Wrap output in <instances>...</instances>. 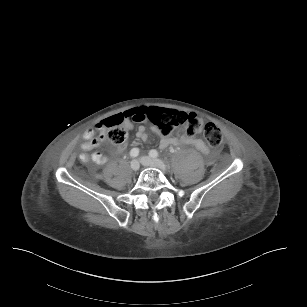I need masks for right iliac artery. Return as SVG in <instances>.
<instances>
[{"instance_id":"1","label":"right iliac artery","mask_w":307,"mask_h":307,"mask_svg":"<svg viewBox=\"0 0 307 307\" xmlns=\"http://www.w3.org/2000/svg\"><path fill=\"white\" fill-rule=\"evenodd\" d=\"M139 155V149L138 148H133L131 151H130V156L131 157H137Z\"/></svg>"}]
</instances>
